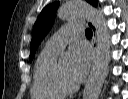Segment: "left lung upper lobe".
Listing matches in <instances>:
<instances>
[{
    "mask_svg": "<svg viewBox=\"0 0 128 99\" xmlns=\"http://www.w3.org/2000/svg\"><path fill=\"white\" fill-rule=\"evenodd\" d=\"M93 6H97V0H87ZM59 6V2H55L46 6L40 13L34 28L30 44V61L33 59L36 49L44 36L48 33L54 23L55 11Z\"/></svg>",
    "mask_w": 128,
    "mask_h": 99,
    "instance_id": "left-lung-upper-lobe-1",
    "label": "left lung upper lobe"
}]
</instances>
